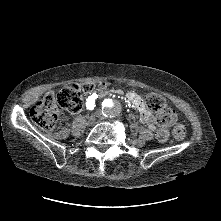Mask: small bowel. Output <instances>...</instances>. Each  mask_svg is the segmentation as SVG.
Returning <instances> with one entry per match:
<instances>
[{"label": "small bowel", "mask_w": 221, "mask_h": 221, "mask_svg": "<svg viewBox=\"0 0 221 221\" xmlns=\"http://www.w3.org/2000/svg\"><path fill=\"white\" fill-rule=\"evenodd\" d=\"M97 94L93 93L91 94L88 99H93ZM128 100L129 102L140 112L141 114V118L144 122L149 124V127L152 130L157 129L156 126V120L155 118L152 116V114L146 109L142 99L139 97V95L135 92H128L127 94ZM175 120V117L173 115V119L172 122L173 123Z\"/></svg>", "instance_id": "small-bowel-1"}]
</instances>
